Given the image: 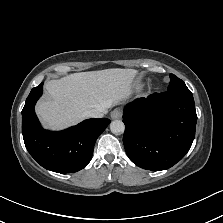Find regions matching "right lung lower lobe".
<instances>
[{"mask_svg":"<svg viewBox=\"0 0 223 223\" xmlns=\"http://www.w3.org/2000/svg\"><path fill=\"white\" fill-rule=\"evenodd\" d=\"M43 83L33 88L22 110V134L31 156L45 169L57 173H73L91 160L98 136L109 125L107 118L88 119L64 131L44 130L34 111L42 95Z\"/></svg>","mask_w":223,"mask_h":223,"instance_id":"right-lung-lower-lobe-1","label":"right lung lower lobe"}]
</instances>
